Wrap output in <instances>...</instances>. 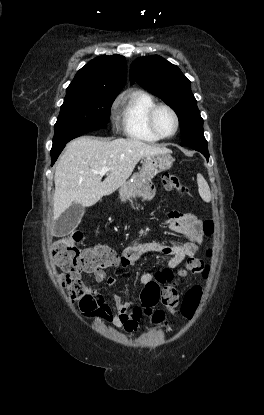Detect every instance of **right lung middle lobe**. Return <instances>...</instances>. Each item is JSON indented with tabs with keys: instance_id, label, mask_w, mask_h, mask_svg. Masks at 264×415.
I'll use <instances>...</instances> for the list:
<instances>
[{
	"instance_id": "dd1d6c3e",
	"label": "right lung middle lobe",
	"mask_w": 264,
	"mask_h": 415,
	"mask_svg": "<svg viewBox=\"0 0 264 415\" xmlns=\"http://www.w3.org/2000/svg\"><path fill=\"white\" fill-rule=\"evenodd\" d=\"M116 95L65 97L54 126L52 150L87 132L106 128Z\"/></svg>"
}]
</instances>
